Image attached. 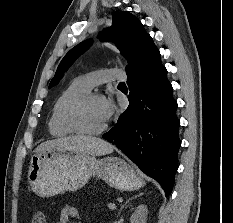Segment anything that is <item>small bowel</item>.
<instances>
[{
  "instance_id": "c3829d8e",
  "label": "small bowel",
  "mask_w": 233,
  "mask_h": 223,
  "mask_svg": "<svg viewBox=\"0 0 233 223\" xmlns=\"http://www.w3.org/2000/svg\"><path fill=\"white\" fill-rule=\"evenodd\" d=\"M82 218V214L76 207L66 205L60 212L58 223H70V219L77 220L81 223Z\"/></svg>"
}]
</instances>
